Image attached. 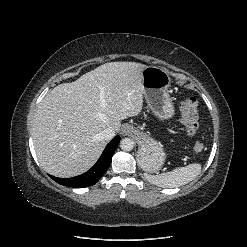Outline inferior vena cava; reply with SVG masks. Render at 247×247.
Masks as SVG:
<instances>
[{
  "label": "inferior vena cava",
  "instance_id": "obj_1",
  "mask_svg": "<svg viewBox=\"0 0 247 247\" xmlns=\"http://www.w3.org/2000/svg\"><path fill=\"white\" fill-rule=\"evenodd\" d=\"M102 138L105 140H111L115 136V129L113 127H108L101 133Z\"/></svg>",
  "mask_w": 247,
  "mask_h": 247
}]
</instances>
